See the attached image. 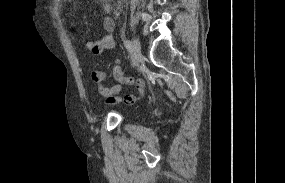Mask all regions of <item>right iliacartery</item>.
I'll return each instance as SVG.
<instances>
[{
    "label": "right iliac artery",
    "mask_w": 285,
    "mask_h": 183,
    "mask_svg": "<svg viewBox=\"0 0 285 183\" xmlns=\"http://www.w3.org/2000/svg\"><path fill=\"white\" fill-rule=\"evenodd\" d=\"M124 45L126 47V49L128 50V52L131 54L133 51V44L130 40H125L124 41Z\"/></svg>",
    "instance_id": "82829eb1"
}]
</instances>
